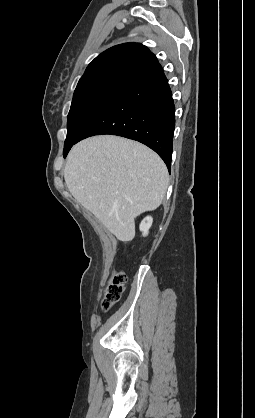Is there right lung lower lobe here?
Wrapping results in <instances>:
<instances>
[{"mask_svg":"<svg viewBox=\"0 0 255 418\" xmlns=\"http://www.w3.org/2000/svg\"><path fill=\"white\" fill-rule=\"evenodd\" d=\"M175 107L168 81L157 73L125 87L89 121L78 138L64 148V157L80 140L112 134L139 141L171 166Z\"/></svg>","mask_w":255,"mask_h":418,"instance_id":"98d812e1","label":"right lung lower lobe"}]
</instances>
